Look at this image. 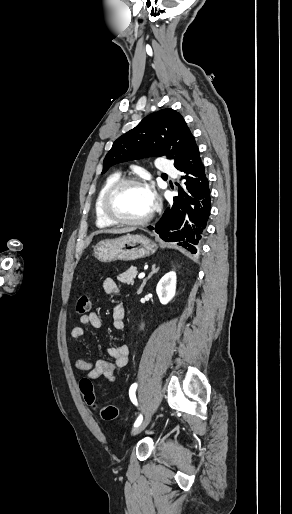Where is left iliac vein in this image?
Here are the masks:
<instances>
[{
  "label": "left iliac vein",
  "mask_w": 292,
  "mask_h": 514,
  "mask_svg": "<svg viewBox=\"0 0 292 514\" xmlns=\"http://www.w3.org/2000/svg\"><path fill=\"white\" fill-rule=\"evenodd\" d=\"M150 420H151V412H148L146 414L144 420L141 422V424L138 427H136V429L133 431V436L141 433L146 428V426L149 424Z\"/></svg>",
  "instance_id": "left-iliac-vein-1"
}]
</instances>
